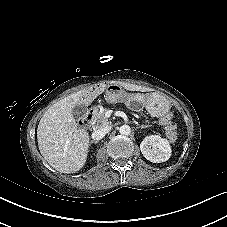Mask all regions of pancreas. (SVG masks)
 <instances>
[{
    "mask_svg": "<svg viewBox=\"0 0 227 227\" xmlns=\"http://www.w3.org/2000/svg\"><path fill=\"white\" fill-rule=\"evenodd\" d=\"M106 112L107 108H101L97 113H96V120L98 123L101 124V126L105 127L110 124V121L106 117ZM148 122V121H146ZM164 132L167 138L170 140V142L174 143L177 139V126L176 125H168L164 127Z\"/></svg>",
    "mask_w": 227,
    "mask_h": 227,
    "instance_id": "cf45deb5",
    "label": "pancreas"
}]
</instances>
